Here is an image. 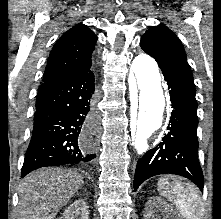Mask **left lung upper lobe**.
<instances>
[{
	"instance_id": "obj_1",
	"label": "left lung upper lobe",
	"mask_w": 221,
	"mask_h": 219,
	"mask_svg": "<svg viewBox=\"0 0 221 219\" xmlns=\"http://www.w3.org/2000/svg\"><path fill=\"white\" fill-rule=\"evenodd\" d=\"M140 46L158 64L173 68L193 80L183 45L166 26H151L142 36Z\"/></svg>"
}]
</instances>
